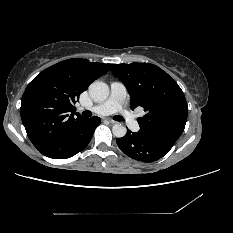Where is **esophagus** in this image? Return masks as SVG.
<instances>
[{
    "label": "esophagus",
    "mask_w": 233,
    "mask_h": 233,
    "mask_svg": "<svg viewBox=\"0 0 233 233\" xmlns=\"http://www.w3.org/2000/svg\"><path fill=\"white\" fill-rule=\"evenodd\" d=\"M105 121H108L109 123H111V124H115L116 122L114 121V120H112V119H105Z\"/></svg>",
    "instance_id": "obj_1"
}]
</instances>
